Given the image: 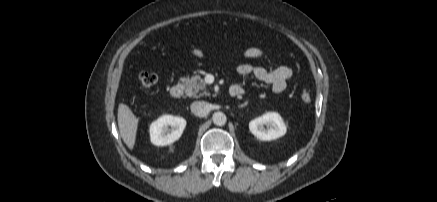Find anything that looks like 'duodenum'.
<instances>
[{
  "label": "duodenum",
  "instance_id": "duodenum-1",
  "mask_svg": "<svg viewBox=\"0 0 437 202\" xmlns=\"http://www.w3.org/2000/svg\"><path fill=\"white\" fill-rule=\"evenodd\" d=\"M170 93L173 98L179 99L184 94V87L181 84H175L171 87ZM231 97H236L241 94L240 90L236 87H231L228 91Z\"/></svg>",
  "mask_w": 437,
  "mask_h": 202
}]
</instances>
